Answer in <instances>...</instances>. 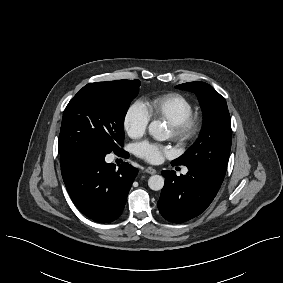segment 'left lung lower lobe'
<instances>
[{
  "instance_id": "left-lung-lower-lobe-1",
  "label": "left lung lower lobe",
  "mask_w": 283,
  "mask_h": 283,
  "mask_svg": "<svg viewBox=\"0 0 283 283\" xmlns=\"http://www.w3.org/2000/svg\"><path fill=\"white\" fill-rule=\"evenodd\" d=\"M174 165V164H172ZM187 175L162 171L165 184L158 201L161 215L170 222L182 223L199 214L217 195L222 179L204 170L188 167Z\"/></svg>"
}]
</instances>
